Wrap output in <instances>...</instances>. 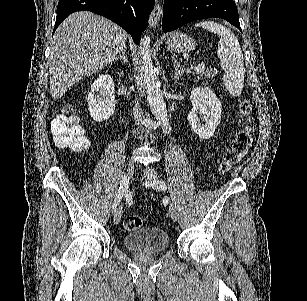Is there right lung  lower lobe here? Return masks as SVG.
<instances>
[{
	"instance_id": "right-lung-lower-lobe-1",
	"label": "right lung lower lobe",
	"mask_w": 307,
	"mask_h": 301,
	"mask_svg": "<svg viewBox=\"0 0 307 301\" xmlns=\"http://www.w3.org/2000/svg\"><path fill=\"white\" fill-rule=\"evenodd\" d=\"M154 4V0H59L54 31L71 13L91 11L117 23L139 43Z\"/></svg>"
}]
</instances>
